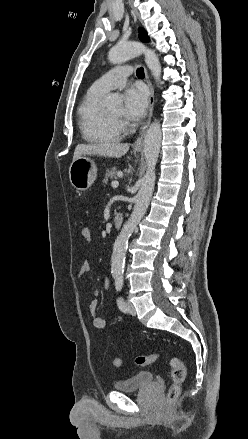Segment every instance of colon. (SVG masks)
<instances>
[{"label":"colon","instance_id":"obj_1","mask_svg":"<svg viewBox=\"0 0 248 439\" xmlns=\"http://www.w3.org/2000/svg\"><path fill=\"white\" fill-rule=\"evenodd\" d=\"M82 235L86 241H91L92 239V232L89 227L84 226L82 228ZM160 358V354L153 353L149 355H139L135 358L134 362L137 366H146L153 364ZM122 359L120 358H114L112 360V364L115 367H120L122 365ZM171 367V387L168 392V399L170 401H175L181 392V386L185 381L186 378V368L184 363L178 359L173 358L170 362Z\"/></svg>","mask_w":248,"mask_h":439}]
</instances>
